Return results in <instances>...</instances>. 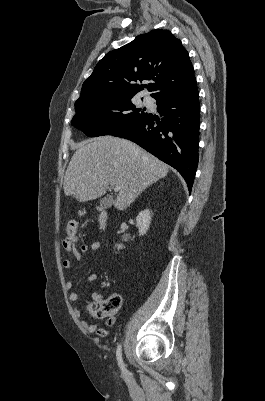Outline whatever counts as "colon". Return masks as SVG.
Returning a JSON list of instances; mask_svg holds the SVG:
<instances>
[{"mask_svg":"<svg viewBox=\"0 0 265 401\" xmlns=\"http://www.w3.org/2000/svg\"><path fill=\"white\" fill-rule=\"evenodd\" d=\"M77 234V222L75 220L68 221L66 225V238L67 244L74 243ZM121 297L119 295H112L106 299L95 300L89 306L91 314L99 319H110L120 309Z\"/></svg>","mask_w":265,"mask_h":401,"instance_id":"colon-1","label":"colon"}]
</instances>
